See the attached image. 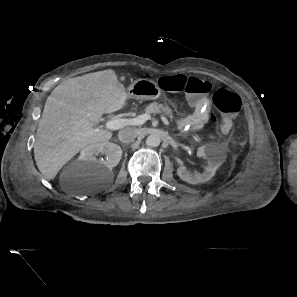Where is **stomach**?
I'll return each instance as SVG.
<instances>
[{
	"mask_svg": "<svg viewBox=\"0 0 297 297\" xmlns=\"http://www.w3.org/2000/svg\"><path fill=\"white\" fill-rule=\"evenodd\" d=\"M161 95V89L150 79L140 78L127 88V96L138 100H155Z\"/></svg>",
	"mask_w": 297,
	"mask_h": 297,
	"instance_id": "stomach-1",
	"label": "stomach"
}]
</instances>
